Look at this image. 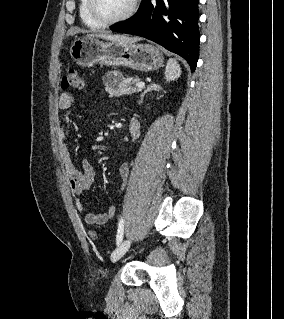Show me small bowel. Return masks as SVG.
<instances>
[{"label":"small bowel","instance_id":"c3829d8e","mask_svg":"<svg viewBox=\"0 0 284 319\" xmlns=\"http://www.w3.org/2000/svg\"><path fill=\"white\" fill-rule=\"evenodd\" d=\"M75 103V95L71 91H64L60 94L57 101V106L60 110H67ZM130 128H134L137 136L141 132V124L138 120L134 119L130 123ZM67 136L65 128L61 125L58 129V137L63 142ZM63 158L65 163L66 175L69 180L70 189L75 197V206L77 211L83 212L84 205L81 196L84 191L88 190L95 181L96 172L88 160H83L82 168H77L69 154L67 147L63 148ZM130 174L129 164H122L119 168V175L122 179V188L128 180ZM116 207L111 205L105 212L93 213L87 212L84 214V220L89 225H103L108 220L114 217Z\"/></svg>","mask_w":284,"mask_h":319}]
</instances>
